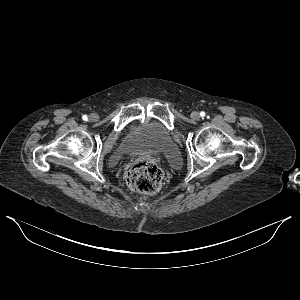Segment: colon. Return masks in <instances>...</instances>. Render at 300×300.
Instances as JSON below:
<instances>
[{
	"label": "colon",
	"instance_id": "colon-1",
	"mask_svg": "<svg viewBox=\"0 0 300 300\" xmlns=\"http://www.w3.org/2000/svg\"><path fill=\"white\" fill-rule=\"evenodd\" d=\"M162 176V170L154 160L141 159L129 167L126 181L134 191L155 194L161 188Z\"/></svg>",
	"mask_w": 300,
	"mask_h": 300
}]
</instances>
